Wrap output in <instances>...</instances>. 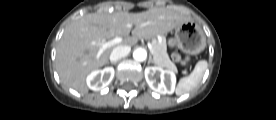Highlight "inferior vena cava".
<instances>
[{"instance_id": "1", "label": "inferior vena cava", "mask_w": 276, "mask_h": 120, "mask_svg": "<svg viewBox=\"0 0 276 120\" xmlns=\"http://www.w3.org/2000/svg\"><path fill=\"white\" fill-rule=\"evenodd\" d=\"M130 50V46L120 45L115 47L110 55V61L116 62L120 58L126 57L130 53Z\"/></svg>"}]
</instances>
